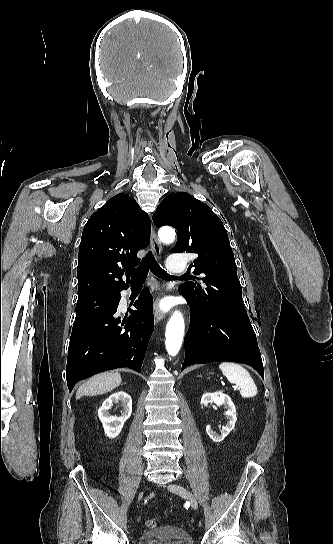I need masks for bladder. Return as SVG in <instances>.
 <instances>
[{
    "label": "bladder",
    "mask_w": 333,
    "mask_h": 544,
    "mask_svg": "<svg viewBox=\"0 0 333 544\" xmlns=\"http://www.w3.org/2000/svg\"><path fill=\"white\" fill-rule=\"evenodd\" d=\"M138 544H194L185 530L176 526H162L144 532Z\"/></svg>",
    "instance_id": "31cf9c89"
}]
</instances>
